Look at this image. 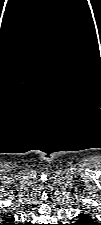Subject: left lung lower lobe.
Returning <instances> with one entry per match:
<instances>
[{
    "instance_id": "obj_1",
    "label": "left lung lower lobe",
    "mask_w": 101,
    "mask_h": 225,
    "mask_svg": "<svg viewBox=\"0 0 101 225\" xmlns=\"http://www.w3.org/2000/svg\"><path fill=\"white\" fill-rule=\"evenodd\" d=\"M73 225H96L87 214H80V219Z\"/></svg>"
}]
</instances>
